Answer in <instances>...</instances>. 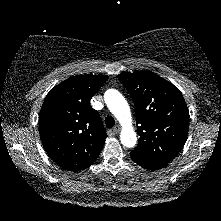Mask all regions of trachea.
Wrapping results in <instances>:
<instances>
[{"label":"trachea","mask_w":221,"mask_h":221,"mask_svg":"<svg viewBox=\"0 0 221 221\" xmlns=\"http://www.w3.org/2000/svg\"><path fill=\"white\" fill-rule=\"evenodd\" d=\"M105 124L108 128H112L115 125V120L112 116H107L105 118Z\"/></svg>","instance_id":"obj_1"}]
</instances>
